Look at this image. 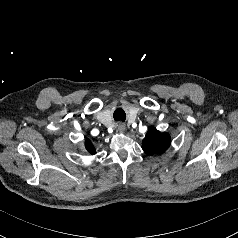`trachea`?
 Returning <instances> with one entry per match:
<instances>
[{
    "label": "trachea",
    "instance_id": "obj_1",
    "mask_svg": "<svg viewBox=\"0 0 238 238\" xmlns=\"http://www.w3.org/2000/svg\"><path fill=\"white\" fill-rule=\"evenodd\" d=\"M126 119V115H125V112L121 109H117L115 112H114V120L115 121H125Z\"/></svg>",
    "mask_w": 238,
    "mask_h": 238
}]
</instances>
